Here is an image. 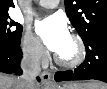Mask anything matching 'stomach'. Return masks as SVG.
Listing matches in <instances>:
<instances>
[{
	"instance_id": "stomach-1",
	"label": "stomach",
	"mask_w": 107,
	"mask_h": 89,
	"mask_svg": "<svg viewBox=\"0 0 107 89\" xmlns=\"http://www.w3.org/2000/svg\"><path fill=\"white\" fill-rule=\"evenodd\" d=\"M56 89H81V88H79L77 85H73V84H64L62 86H57Z\"/></svg>"
}]
</instances>
